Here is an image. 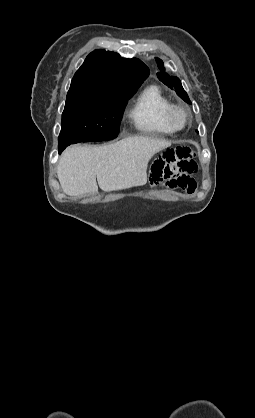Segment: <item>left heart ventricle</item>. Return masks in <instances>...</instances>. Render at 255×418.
<instances>
[{
	"label": "left heart ventricle",
	"mask_w": 255,
	"mask_h": 418,
	"mask_svg": "<svg viewBox=\"0 0 255 418\" xmlns=\"http://www.w3.org/2000/svg\"><path fill=\"white\" fill-rule=\"evenodd\" d=\"M174 122L177 126H181L184 123V116L181 112H176Z\"/></svg>",
	"instance_id": "left-heart-ventricle-1"
}]
</instances>
